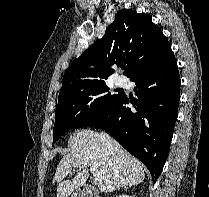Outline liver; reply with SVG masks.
Here are the masks:
<instances>
[{
	"instance_id": "liver-1",
	"label": "liver",
	"mask_w": 209,
	"mask_h": 197,
	"mask_svg": "<svg viewBox=\"0 0 209 197\" xmlns=\"http://www.w3.org/2000/svg\"><path fill=\"white\" fill-rule=\"evenodd\" d=\"M69 142L72 151L62 158L54 176L56 197H69L82 186L89 176L87 166H96L102 174L98 181L101 192L137 185L145 179L143 164L104 133L83 129L73 134ZM73 168L79 170L77 175L71 181L64 180Z\"/></svg>"
}]
</instances>
